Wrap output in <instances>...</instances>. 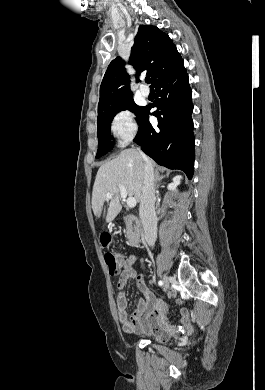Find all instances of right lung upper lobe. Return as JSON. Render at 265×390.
Instances as JSON below:
<instances>
[{
    "mask_svg": "<svg viewBox=\"0 0 265 390\" xmlns=\"http://www.w3.org/2000/svg\"><path fill=\"white\" fill-rule=\"evenodd\" d=\"M181 61L176 46L167 34L154 26H139L129 61L137 74L145 71L151 76L154 85L160 77L170 72ZM129 82L130 78L121 58L112 60L101 83L98 115L133 99Z\"/></svg>",
    "mask_w": 265,
    "mask_h": 390,
    "instance_id": "obj_1",
    "label": "right lung upper lobe"
}]
</instances>
